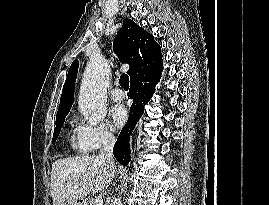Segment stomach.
Segmentation results:
<instances>
[{"label": "stomach", "instance_id": "0dacf381", "mask_svg": "<svg viewBox=\"0 0 269 205\" xmlns=\"http://www.w3.org/2000/svg\"><path fill=\"white\" fill-rule=\"evenodd\" d=\"M73 205H87V202L85 200H78Z\"/></svg>", "mask_w": 269, "mask_h": 205}]
</instances>
